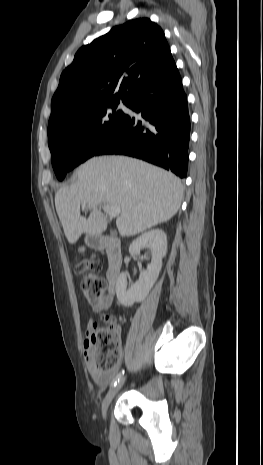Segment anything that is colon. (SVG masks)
I'll return each mask as SVG.
<instances>
[{"instance_id":"1","label":"colon","mask_w":263,"mask_h":465,"mask_svg":"<svg viewBox=\"0 0 263 465\" xmlns=\"http://www.w3.org/2000/svg\"><path fill=\"white\" fill-rule=\"evenodd\" d=\"M100 269L101 264L92 257L83 258L75 265V272L83 276L82 292L91 302L101 299L106 291V281L97 274ZM103 319L106 322L111 320L109 316ZM86 342L92 349V361L98 371L110 372L119 365L121 346L116 328L95 325Z\"/></svg>"}]
</instances>
